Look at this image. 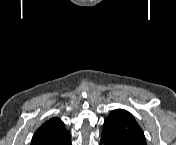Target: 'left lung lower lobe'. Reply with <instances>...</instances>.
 I'll return each instance as SVG.
<instances>
[{
	"label": "left lung lower lobe",
	"mask_w": 176,
	"mask_h": 145,
	"mask_svg": "<svg viewBox=\"0 0 176 145\" xmlns=\"http://www.w3.org/2000/svg\"><path fill=\"white\" fill-rule=\"evenodd\" d=\"M100 143H104L106 145H112L109 141H107L104 137L101 136V142Z\"/></svg>",
	"instance_id": "left-lung-lower-lobe-1"
}]
</instances>
